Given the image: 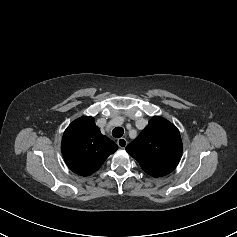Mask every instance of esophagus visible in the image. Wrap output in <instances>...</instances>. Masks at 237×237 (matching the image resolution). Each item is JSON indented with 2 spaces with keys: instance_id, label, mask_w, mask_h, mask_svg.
Segmentation results:
<instances>
[{
  "instance_id": "34e87169",
  "label": "esophagus",
  "mask_w": 237,
  "mask_h": 237,
  "mask_svg": "<svg viewBox=\"0 0 237 237\" xmlns=\"http://www.w3.org/2000/svg\"><path fill=\"white\" fill-rule=\"evenodd\" d=\"M117 144L121 149H124L127 146V140L125 138H119Z\"/></svg>"
}]
</instances>
